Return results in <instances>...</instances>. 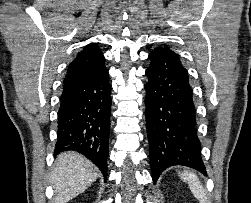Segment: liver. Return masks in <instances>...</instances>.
<instances>
[{
  "label": "liver",
  "mask_w": 251,
  "mask_h": 203,
  "mask_svg": "<svg viewBox=\"0 0 251 203\" xmlns=\"http://www.w3.org/2000/svg\"><path fill=\"white\" fill-rule=\"evenodd\" d=\"M97 168L84 156L65 152L58 156L51 175L54 203H66L84 192L98 178Z\"/></svg>",
  "instance_id": "1"
}]
</instances>
